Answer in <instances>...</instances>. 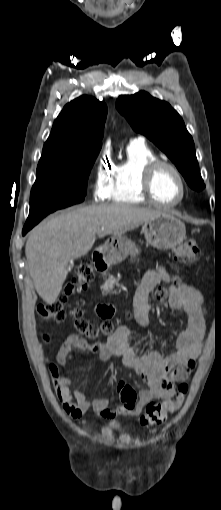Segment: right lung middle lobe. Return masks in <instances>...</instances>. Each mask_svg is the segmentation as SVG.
I'll return each instance as SVG.
<instances>
[{
	"instance_id": "right-lung-middle-lobe-1",
	"label": "right lung middle lobe",
	"mask_w": 221,
	"mask_h": 510,
	"mask_svg": "<svg viewBox=\"0 0 221 510\" xmlns=\"http://www.w3.org/2000/svg\"><path fill=\"white\" fill-rule=\"evenodd\" d=\"M100 148L40 159L30 207L58 210L84 200L91 168Z\"/></svg>"
}]
</instances>
